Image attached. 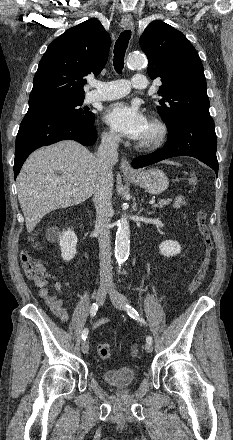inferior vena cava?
Masks as SVG:
<instances>
[{
    "label": "inferior vena cava",
    "mask_w": 233,
    "mask_h": 440,
    "mask_svg": "<svg viewBox=\"0 0 233 440\" xmlns=\"http://www.w3.org/2000/svg\"><path fill=\"white\" fill-rule=\"evenodd\" d=\"M120 137L113 134H103L98 148L97 162L99 179L95 187L93 201L96 207L95 233L99 242L100 282L103 285H113L111 268L110 221L112 209V168L118 161V143Z\"/></svg>",
    "instance_id": "obj_1"
}]
</instances>
